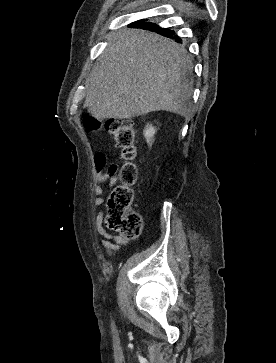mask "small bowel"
I'll return each mask as SVG.
<instances>
[{
  "label": "small bowel",
  "mask_w": 276,
  "mask_h": 363,
  "mask_svg": "<svg viewBox=\"0 0 276 363\" xmlns=\"http://www.w3.org/2000/svg\"><path fill=\"white\" fill-rule=\"evenodd\" d=\"M107 163V156L103 152H98L94 156V169H95V180L97 184L94 186V193L96 198L94 199V206L101 207L104 203L101 195L106 189L114 185L118 179L112 176V173L117 170L118 165L112 164L108 171H104ZM102 212L96 217V228L98 233L101 235V244L108 250L110 254H115L123 244H126V240L118 235H113L107 232L102 226Z\"/></svg>",
  "instance_id": "obj_1"
}]
</instances>
